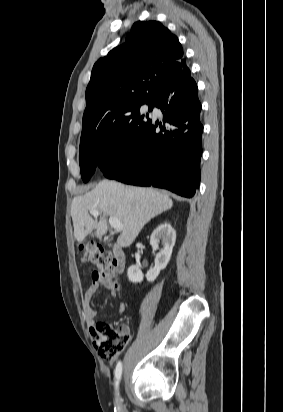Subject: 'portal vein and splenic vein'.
Here are the masks:
<instances>
[{
  "label": "portal vein and splenic vein",
  "mask_w": 283,
  "mask_h": 412,
  "mask_svg": "<svg viewBox=\"0 0 283 412\" xmlns=\"http://www.w3.org/2000/svg\"><path fill=\"white\" fill-rule=\"evenodd\" d=\"M89 212L94 217H97L99 215L98 210H90ZM109 223H110L111 227H113L115 230H118V231L123 230V225L118 219H116L114 217H109Z\"/></svg>",
  "instance_id": "obj_1"
}]
</instances>
